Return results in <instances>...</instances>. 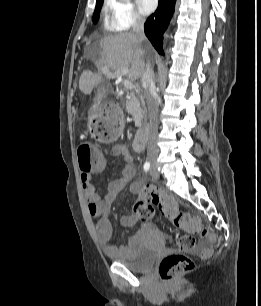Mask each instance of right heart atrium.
<instances>
[{
  "label": "right heart atrium",
  "mask_w": 261,
  "mask_h": 306,
  "mask_svg": "<svg viewBox=\"0 0 261 306\" xmlns=\"http://www.w3.org/2000/svg\"><path fill=\"white\" fill-rule=\"evenodd\" d=\"M108 9L114 30L126 31L143 23V17L131 0H108Z\"/></svg>",
  "instance_id": "obj_1"
}]
</instances>
